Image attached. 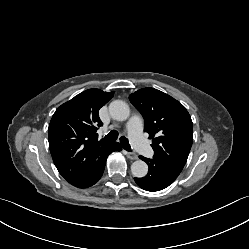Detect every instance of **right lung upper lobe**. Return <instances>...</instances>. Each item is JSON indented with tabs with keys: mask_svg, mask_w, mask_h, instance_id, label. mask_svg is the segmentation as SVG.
<instances>
[{
	"mask_svg": "<svg viewBox=\"0 0 249 249\" xmlns=\"http://www.w3.org/2000/svg\"><path fill=\"white\" fill-rule=\"evenodd\" d=\"M113 93L89 89L61 105L48 128L50 152L56 168L73 186L81 183L99 154L113 142L98 139L102 126L98 111Z\"/></svg>",
	"mask_w": 249,
	"mask_h": 249,
	"instance_id": "cb5924a9",
	"label": "right lung upper lobe"
}]
</instances>
